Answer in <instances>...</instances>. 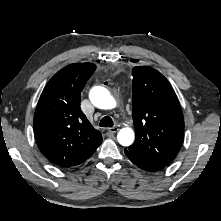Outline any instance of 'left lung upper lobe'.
Returning a JSON list of instances; mask_svg holds the SVG:
<instances>
[{"label": "left lung upper lobe", "mask_w": 221, "mask_h": 221, "mask_svg": "<svg viewBox=\"0 0 221 221\" xmlns=\"http://www.w3.org/2000/svg\"><path fill=\"white\" fill-rule=\"evenodd\" d=\"M135 142L129 151L167 166L184 139V118L168 80L148 66L132 69Z\"/></svg>", "instance_id": "5c2ea615"}]
</instances>
